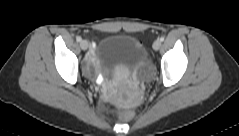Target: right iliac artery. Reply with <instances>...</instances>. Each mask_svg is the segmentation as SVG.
Wrapping results in <instances>:
<instances>
[{
	"instance_id": "1",
	"label": "right iliac artery",
	"mask_w": 239,
	"mask_h": 136,
	"mask_svg": "<svg viewBox=\"0 0 239 136\" xmlns=\"http://www.w3.org/2000/svg\"><path fill=\"white\" fill-rule=\"evenodd\" d=\"M76 40H77V42H80L81 41V37H77Z\"/></svg>"
}]
</instances>
